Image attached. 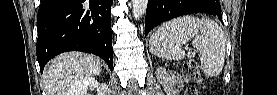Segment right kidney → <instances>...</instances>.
Listing matches in <instances>:
<instances>
[{"label": "right kidney", "instance_id": "right-kidney-1", "mask_svg": "<svg viewBox=\"0 0 277 95\" xmlns=\"http://www.w3.org/2000/svg\"><path fill=\"white\" fill-rule=\"evenodd\" d=\"M89 88H96L98 95H104L107 90V86L105 84L100 85L94 77H90L76 82L69 91L68 95H87Z\"/></svg>", "mask_w": 277, "mask_h": 95}]
</instances>
